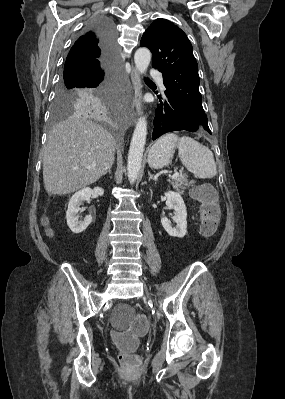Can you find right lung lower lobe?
<instances>
[{
    "label": "right lung lower lobe",
    "mask_w": 285,
    "mask_h": 399,
    "mask_svg": "<svg viewBox=\"0 0 285 399\" xmlns=\"http://www.w3.org/2000/svg\"><path fill=\"white\" fill-rule=\"evenodd\" d=\"M89 29L94 30L100 38L102 59L98 63L83 62L67 67L64 69L62 81L101 93L111 86L114 78L116 33L113 23L108 19L95 22ZM88 105L92 108L89 112L91 114L102 107V102L91 100Z\"/></svg>",
    "instance_id": "98d812e1"
}]
</instances>
